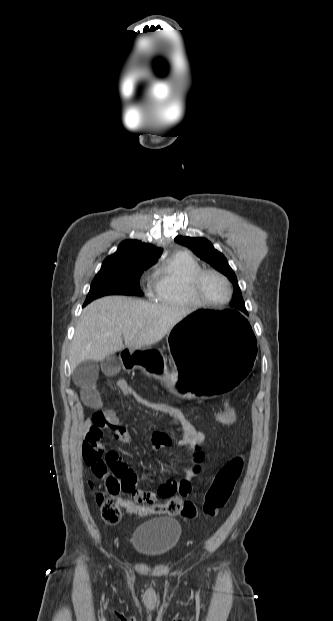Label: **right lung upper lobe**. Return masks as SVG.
<instances>
[{
    "label": "right lung upper lobe",
    "mask_w": 333,
    "mask_h": 621,
    "mask_svg": "<svg viewBox=\"0 0 333 621\" xmlns=\"http://www.w3.org/2000/svg\"><path fill=\"white\" fill-rule=\"evenodd\" d=\"M161 254V248L137 240H125L119 245L118 250L108 256L103 263H141L152 266Z\"/></svg>",
    "instance_id": "cb5924a9"
}]
</instances>
